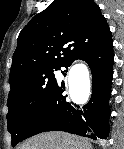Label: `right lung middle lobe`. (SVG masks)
<instances>
[{"mask_svg":"<svg viewBox=\"0 0 124 149\" xmlns=\"http://www.w3.org/2000/svg\"><path fill=\"white\" fill-rule=\"evenodd\" d=\"M54 70L59 69L39 71L11 88L7 102L9 108L7 124L13 146L21 141L27 124L58 85Z\"/></svg>","mask_w":124,"mask_h":149,"instance_id":"1","label":"right lung middle lobe"}]
</instances>
